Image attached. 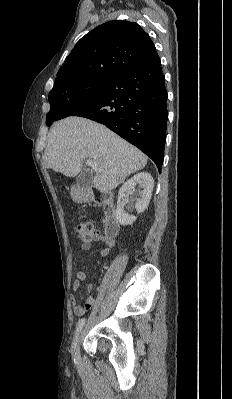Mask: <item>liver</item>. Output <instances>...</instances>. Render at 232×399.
Listing matches in <instances>:
<instances>
[{
    "label": "liver",
    "instance_id": "6515ba94",
    "mask_svg": "<svg viewBox=\"0 0 232 399\" xmlns=\"http://www.w3.org/2000/svg\"><path fill=\"white\" fill-rule=\"evenodd\" d=\"M84 160H92L101 170V174L93 178L94 188L110 192L130 174L143 170L148 158L102 124L75 116L55 122L48 134L43 158L45 168L75 178Z\"/></svg>",
    "mask_w": 232,
    "mask_h": 399
}]
</instances>
